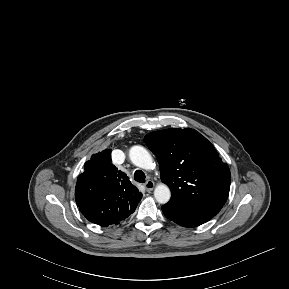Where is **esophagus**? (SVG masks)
Wrapping results in <instances>:
<instances>
[{
	"instance_id": "34e87169",
	"label": "esophagus",
	"mask_w": 289,
	"mask_h": 289,
	"mask_svg": "<svg viewBox=\"0 0 289 289\" xmlns=\"http://www.w3.org/2000/svg\"><path fill=\"white\" fill-rule=\"evenodd\" d=\"M144 186H145V189H146L148 192H150V191H152V190L154 189L155 184H154V182H153L152 180H148V181L144 184Z\"/></svg>"
}]
</instances>
